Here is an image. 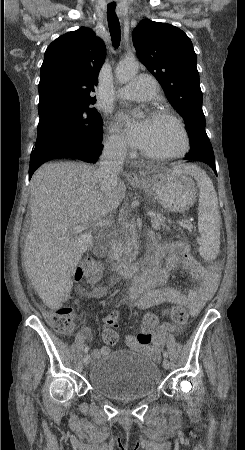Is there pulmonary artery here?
<instances>
[{
	"label": "pulmonary artery",
	"instance_id": "pulmonary-artery-1",
	"mask_svg": "<svg viewBox=\"0 0 245 450\" xmlns=\"http://www.w3.org/2000/svg\"><path fill=\"white\" fill-rule=\"evenodd\" d=\"M159 93L154 77L141 75L120 87L116 97L119 100L146 101L158 96Z\"/></svg>",
	"mask_w": 245,
	"mask_h": 450
}]
</instances>
